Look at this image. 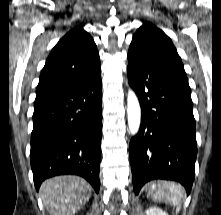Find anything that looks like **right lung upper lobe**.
Segmentation results:
<instances>
[{
    "label": "right lung upper lobe",
    "instance_id": "obj_1",
    "mask_svg": "<svg viewBox=\"0 0 221 215\" xmlns=\"http://www.w3.org/2000/svg\"><path fill=\"white\" fill-rule=\"evenodd\" d=\"M100 72L96 44L82 26H77L52 49L40 75L35 102L87 81Z\"/></svg>",
    "mask_w": 221,
    "mask_h": 215
}]
</instances>
